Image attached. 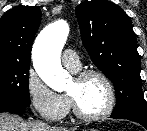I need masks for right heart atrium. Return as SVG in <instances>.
Listing matches in <instances>:
<instances>
[{"label": "right heart atrium", "mask_w": 147, "mask_h": 131, "mask_svg": "<svg viewBox=\"0 0 147 131\" xmlns=\"http://www.w3.org/2000/svg\"><path fill=\"white\" fill-rule=\"evenodd\" d=\"M30 103L37 114L49 122H58L68 113L70 102L67 96L55 92L30 69L26 79Z\"/></svg>", "instance_id": "d8ad5b80"}]
</instances>
